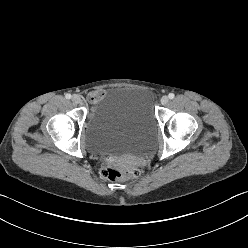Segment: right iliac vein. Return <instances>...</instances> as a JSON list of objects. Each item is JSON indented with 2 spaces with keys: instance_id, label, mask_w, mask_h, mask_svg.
I'll return each instance as SVG.
<instances>
[{
  "instance_id": "1",
  "label": "right iliac vein",
  "mask_w": 248,
  "mask_h": 248,
  "mask_svg": "<svg viewBox=\"0 0 248 248\" xmlns=\"http://www.w3.org/2000/svg\"><path fill=\"white\" fill-rule=\"evenodd\" d=\"M72 102L75 104H79L81 103V97L77 94H74L71 98Z\"/></svg>"
}]
</instances>
